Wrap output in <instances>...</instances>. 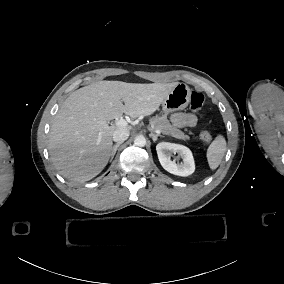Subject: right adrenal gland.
Segmentation results:
<instances>
[{"label":"right adrenal gland","mask_w":284,"mask_h":284,"mask_svg":"<svg viewBox=\"0 0 284 284\" xmlns=\"http://www.w3.org/2000/svg\"><path fill=\"white\" fill-rule=\"evenodd\" d=\"M121 144H122V143H117V144L113 147L112 152H111V155H112L111 161H113L114 156H115V154H116V152H117V149H118V147H119Z\"/></svg>","instance_id":"2a0ac1e0"}]
</instances>
